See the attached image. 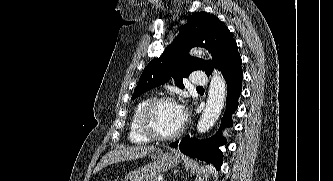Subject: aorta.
Returning <instances> with one entry per match:
<instances>
[{"instance_id": "1", "label": "aorta", "mask_w": 333, "mask_h": 181, "mask_svg": "<svg viewBox=\"0 0 333 181\" xmlns=\"http://www.w3.org/2000/svg\"><path fill=\"white\" fill-rule=\"evenodd\" d=\"M191 54L199 57L206 56V52L200 48L192 50ZM225 98L226 82L221 73L214 70L211 77L207 104L197 124L199 133L208 131L218 120L224 106Z\"/></svg>"}]
</instances>
